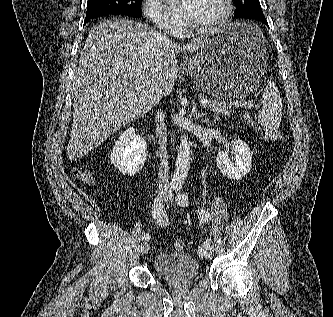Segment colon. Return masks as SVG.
Segmentation results:
<instances>
[{
	"label": "colon",
	"mask_w": 333,
	"mask_h": 317,
	"mask_svg": "<svg viewBox=\"0 0 333 317\" xmlns=\"http://www.w3.org/2000/svg\"><path fill=\"white\" fill-rule=\"evenodd\" d=\"M244 119L253 129H255L264 138L274 141L283 140V136L279 131L263 127L251 116V114L245 113ZM73 175L80 179L90 180V175L86 171L80 169H74ZM173 246L176 250L180 251L184 248V242L182 240H176Z\"/></svg>",
	"instance_id": "1"
}]
</instances>
